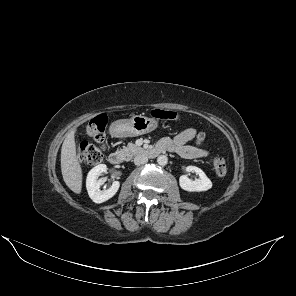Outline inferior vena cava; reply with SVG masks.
Segmentation results:
<instances>
[{"label": "inferior vena cava", "mask_w": 296, "mask_h": 296, "mask_svg": "<svg viewBox=\"0 0 296 296\" xmlns=\"http://www.w3.org/2000/svg\"><path fill=\"white\" fill-rule=\"evenodd\" d=\"M147 161H148V157L145 156V155H142V154L137 155L134 158V164L137 165V166L145 164V163H147Z\"/></svg>", "instance_id": "602c4592"}]
</instances>
